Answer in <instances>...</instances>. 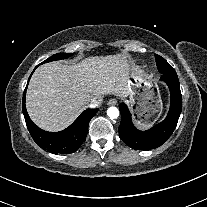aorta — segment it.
Wrapping results in <instances>:
<instances>
[{
    "instance_id": "762f6f07",
    "label": "aorta",
    "mask_w": 207,
    "mask_h": 207,
    "mask_svg": "<svg viewBox=\"0 0 207 207\" xmlns=\"http://www.w3.org/2000/svg\"><path fill=\"white\" fill-rule=\"evenodd\" d=\"M107 115L110 119H116L119 116V110L116 107H109L107 110Z\"/></svg>"
}]
</instances>
